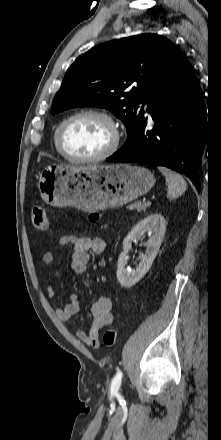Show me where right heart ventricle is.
<instances>
[{
    "mask_svg": "<svg viewBox=\"0 0 221 440\" xmlns=\"http://www.w3.org/2000/svg\"><path fill=\"white\" fill-rule=\"evenodd\" d=\"M55 132H56V129L54 130V133H53V141H54V144H55ZM56 146V145H55Z\"/></svg>",
    "mask_w": 221,
    "mask_h": 440,
    "instance_id": "obj_1",
    "label": "right heart ventricle"
}]
</instances>
